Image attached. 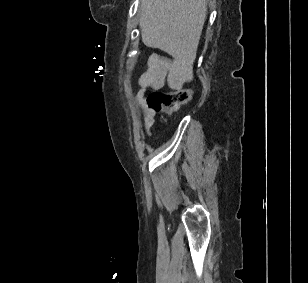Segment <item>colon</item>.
<instances>
[{"instance_id": "colon-1", "label": "colon", "mask_w": 308, "mask_h": 283, "mask_svg": "<svg viewBox=\"0 0 308 283\" xmlns=\"http://www.w3.org/2000/svg\"><path fill=\"white\" fill-rule=\"evenodd\" d=\"M191 97L192 90L188 88L169 92L154 91L146 97V102L148 107L155 112L171 114L181 105L189 102Z\"/></svg>"}]
</instances>
